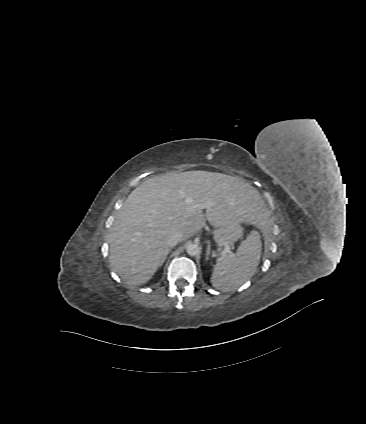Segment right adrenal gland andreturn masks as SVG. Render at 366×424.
Listing matches in <instances>:
<instances>
[{
    "label": "right adrenal gland",
    "instance_id": "1",
    "mask_svg": "<svg viewBox=\"0 0 366 424\" xmlns=\"http://www.w3.org/2000/svg\"><path fill=\"white\" fill-rule=\"evenodd\" d=\"M171 250H172V249H168V250H167V252H166V254H165V256H164V258H163V260H162V262H161V265L165 262V260H166V258H167V255L171 252Z\"/></svg>",
    "mask_w": 366,
    "mask_h": 424
}]
</instances>
